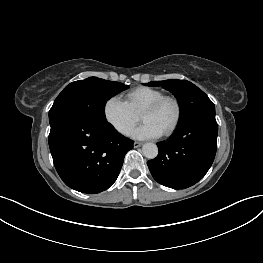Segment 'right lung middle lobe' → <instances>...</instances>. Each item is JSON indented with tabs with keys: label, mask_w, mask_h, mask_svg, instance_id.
I'll return each mask as SVG.
<instances>
[{
	"label": "right lung middle lobe",
	"mask_w": 263,
	"mask_h": 263,
	"mask_svg": "<svg viewBox=\"0 0 263 263\" xmlns=\"http://www.w3.org/2000/svg\"><path fill=\"white\" fill-rule=\"evenodd\" d=\"M129 86L120 82L89 77L70 83L55 99L49 111L50 124L61 117L77 116L106 122V101Z\"/></svg>",
	"instance_id": "obj_1"
}]
</instances>
